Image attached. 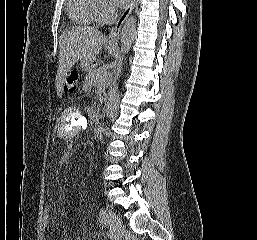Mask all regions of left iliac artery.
Masks as SVG:
<instances>
[{"label": "left iliac artery", "mask_w": 257, "mask_h": 240, "mask_svg": "<svg viewBox=\"0 0 257 240\" xmlns=\"http://www.w3.org/2000/svg\"><path fill=\"white\" fill-rule=\"evenodd\" d=\"M105 219H106V210L104 208H101L99 213V222L103 223L105 222Z\"/></svg>", "instance_id": "left-iliac-artery-1"}]
</instances>
